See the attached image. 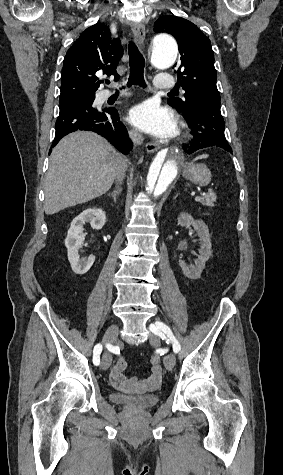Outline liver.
I'll list each match as a JSON object with an SVG mask.
<instances>
[{"label":"liver","mask_w":283,"mask_h":475,"mask_svg":"<svg viewBox=\"0 0 283 475\" xmlns=\"http://www.w3.org/2000/svg\"><path fill=\"white\" fill-rule=\"evenodd\" d=\"M123 156L94 132H73L54 148L45 180V214H57L110 190Z\"/></svg>","instance_id":"obj_1"}]
</instances>
